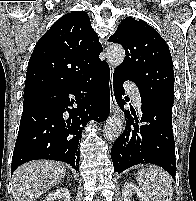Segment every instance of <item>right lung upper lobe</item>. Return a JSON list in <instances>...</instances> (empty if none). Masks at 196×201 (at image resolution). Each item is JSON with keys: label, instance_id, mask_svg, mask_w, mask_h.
I'll list each match as a JSON object with an SVG mask.
<instances>
[{"label": "right lung upper lobe", "instance_id": "1", "mask_svg": "<svg viewBox=\"0 0 196 201\" xmlns=\"http://www.w3.org/2000/svg\"><path fill=\"white\" fill-rule=\"evenodd\" d=\"M103 51L85 12L72 11L39 39L30 57L24 97L71 83L102 61Z\"/></svg>", "mask_w": 196, "mask_h": 201}]
</instances>
